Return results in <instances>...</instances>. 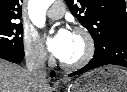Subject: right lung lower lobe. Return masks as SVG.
I'll use <instances>...</instances> for the list:
<instances>
[{
  "instance_id": "1",
  "label": "right lung lower lobe",
  "mask_w": 127,
  "mask_h": 92,
  "mask_svg": "<svg viewBox=\"0 0 127 92\" xmlns=\"http://www.w3.org/2000/svg\"><path fill=\"white\" fill-rule=\"evenodd\" d=\"M24 57V51H15L5 47H0V58L13 63L20 62Z\"/></svg>"
}]
</instances>
